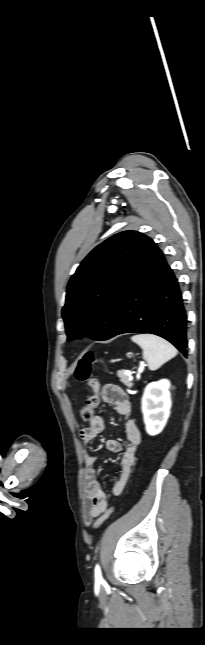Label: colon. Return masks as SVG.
Wrapping results in <instances>:
<instances>
[{
  "label": "colon",
  "instance_id": "obj_1",
  "mask_svg": "<svg viewBox=\"0 0 205 645\" xmlns=\"http://www.w3.org/2000/svg\"><path fill=\"white\" fill-rule=\"evenodd\" d=\"M96 362V357L92 352H88L82 356L78 361L75 368V377L81 382H85L93 391V394L87 399L85 406L80 410V417L82 421L89 422L94 416V409L98 405L99 397V382L94 377L92 366ZM114 508L106 509L94 522V529L100 528L104 522L111 516Z\"/></svg>",
  "mask_w": 205,
  "mask_h": 645
}]
</instances>
